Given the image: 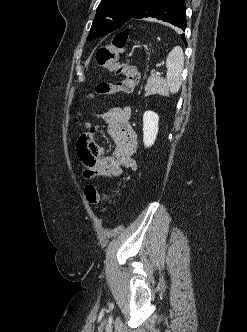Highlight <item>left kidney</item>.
Here are the masks:
<instances>
[{"label":"left kidney","instance_id":"5707ae66","mask_svg":"<svg viewBox=\"0 0 247 332\" xmlns=\"http://www.w3.org/2000/svg\"><path fill=\"white\" fill-rule=\"evenodd\" d=\"M159 116L153 111H146L143 115V142L145 147H151L158 133Z\"/></svg>","mask_w":247,"mask_h":332}]
</instances>
